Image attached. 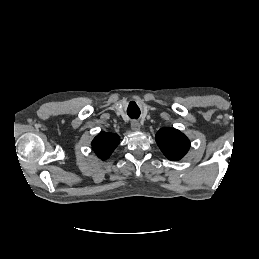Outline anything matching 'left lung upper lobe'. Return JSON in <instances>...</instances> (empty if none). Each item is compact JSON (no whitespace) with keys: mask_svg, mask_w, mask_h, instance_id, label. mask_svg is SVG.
<instances>
[{"mask_svg":"<svg viewBox=\"0 0 259 259\" xmlns=\"http://www.w3.org/2000/svg\"><path fill=\"white\" fill-rule=\"evenodd\" d=\"M156 142L169 160H180L189 150V139L174 128L160 129L156 134Z\"/></svg>","mask_w":259,"mask_h":259,"instance_id":"obj_1","label":"left lung upper lobe"}]
</instances>
